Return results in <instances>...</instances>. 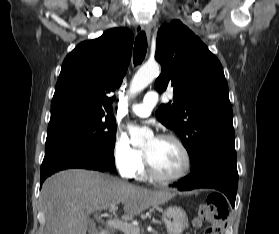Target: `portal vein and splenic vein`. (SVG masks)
<instances>
[{
    "label": "portal vein and splenic vein",
    "mask_w": 279,
    "mask_h": 234,
    "mask_svg": "<svg viewBox=\"0 0 279 234\" xmlns=\"http://www.w3.org/2000/svg\"><path fill=\"white\" fill-rule=\"evenodd\" d=\"M118 209L117 205H112L110 208H109V211L110 212H114ZM107 224L111 227H114L116 229H119L125 233H128L130 231H135L133 226L130 225L129 223L127 222H124V221H118V220H108L107 221Z\"/></svg>",
    "instance_id": "18ae733b"
}]
</instances>
